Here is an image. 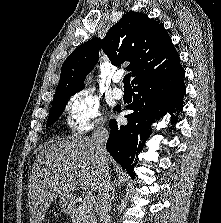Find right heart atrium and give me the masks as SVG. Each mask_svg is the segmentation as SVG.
Here are the masks:
<instances>
[{"instance_id": "d8ad5b80", "label": "right heart atrium", "mask_w": 221, "mask_h": 223, "mask_svg": "<svg viewBox=\"0 0 221 223\" xmlns=\"http://www.w3.org/2000/svg\"><path fill=\"white\" fill-rule=\"evenodd\" d=\"M65 125L70 136L104 128V118L99 101L87 92L72 95L65 106Z\"/></svg>"}]
</instances>
